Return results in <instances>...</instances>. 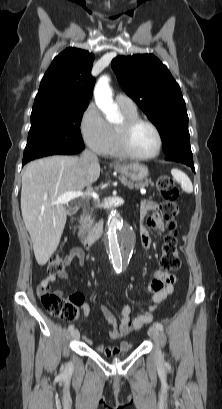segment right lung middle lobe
Returning <instances> with one entry per match:
<instances>
[{
  "label": "right lung middle lobe",
  "instance_id": "right-lung-middle-lobe-1",
  "mask_svg": "<svg viewBox=\"0 0 222 409\" xmlns=\"http://www.w3.org/2000/svg\"><path fill=\"white\" fill-rule=\"evenodd\" d=\"M88 104H60L33 109L23 161L77 153L84 146L79 125Z\"/></svg>",
  "mask_w": 222,
  "mask_h": 409
}]
</instances>
